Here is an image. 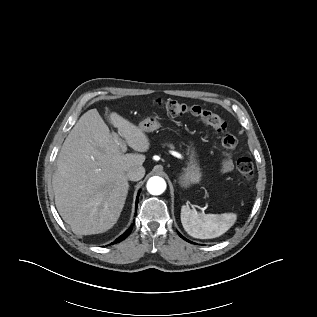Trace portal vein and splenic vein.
Returning <instances> with one entry per match:
<instances>
[{"mask_svg":"<svg viewBox=\"0 0 317 317\" xmlns=\"http://www.w3.org/2000/svg\"><path fill=\"white\" fill-rule=\"evenodd\" d=\"M119 145L122 149V152H125L127 150V147H126V144L124 143V141L120 140Z\"/></svg>","mask_w":317,"mask_h":317,"instance_id":"18ae733b","label":"portal vein and splenic vein"}]
</instances>
